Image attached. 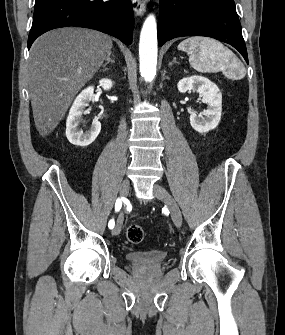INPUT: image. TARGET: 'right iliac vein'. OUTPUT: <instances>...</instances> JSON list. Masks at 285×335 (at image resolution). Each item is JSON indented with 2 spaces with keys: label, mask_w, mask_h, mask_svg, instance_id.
<instances>
[{
  "label": "right iliac vein",
  "mask_w": 285,
  "mask_h": 335,
  "mask_svg": "<svg viewBox=\"0 0 285 335\" xmlns=\"http://www.w3.org/2000/svg\"><path fill=\"white\" fill-rule=\"evenodd\" d=\"M130 190V182L128 179H125L122 181L121 186H120V194L122 197H126L129 193ZM122 223H123V216L120 215V217L117 220V223L115 225V228L113 229L112 234L114 236L118 235L121 231V227H122Z\"/></svg>",
  "instance_id": "right-iliac-vein-1"
}]
</instances>
